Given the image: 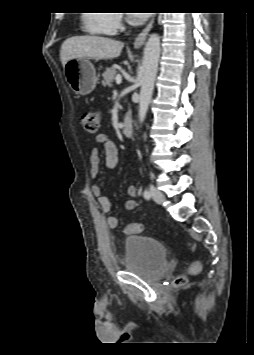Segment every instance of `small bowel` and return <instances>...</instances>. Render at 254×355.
Listing matches in <instances>:
<instances>
[{"instance_id": "1", "label": "small bowel", "mask_w": 254, "mask_h": 355, "mask_svg": "<svg viewBox=\"0 0 254 355\" xmlns=\"http://www.w3.org/2000/svg\"><path fill=\"white\" fill-rule=\"evenodd\" d=\"M96 142L103 148L105 156V167L108 170H113L119 161L118 157V147L113 140L105 133H100L96 136ZM100 154L101 150L98 146L91 150L89 162H90V174L92 178H95L100 169ZM92 194L97 198L99 206L104 213H108L111 209V204L109 199L103 195L102 189L99 185L94 184L91 187ZM128 195L131 199L125 202V209L128 211L133 210L136 207V202L133 199L137 195V187L131 184L127 189ZM106 224L110 229H115L118 227V219L114 216H109L106 219Z\"/></svg>"}]
</instances>
